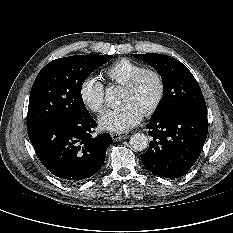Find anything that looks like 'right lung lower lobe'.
I'll return each instance as SVG.
<instances>
[{"mask_svg": "<svg viewBox=\"0 0 233 233\" xmlns=\"http://www.w3.org/2000/svg\"><path fill=\"white\" fill-rule=\"evenodd\" d=\"M95 120L87 113L72 121L45 124L28 131V136L42 164L67 183L84 180L100 170L110 134L93 138Z\"/></svg>", "mask_w": 233, "mask_h": 233, "instance_id": "98d812e1", "label": "right lung lower lobe"}]
</instances>
